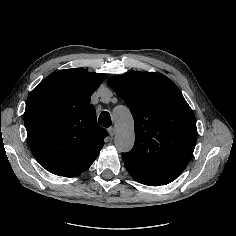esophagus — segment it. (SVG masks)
Segmentation results:
<instances>
[{
  "mask_svg": "<svg viewBox=\"0 0 236 236\" xmlns=\"http://www.w3.org/2000/svg\"><path fill=\"white\" fill-rule=\"evenodd\" d=\"M108 132H109L110 136L113 137L116 134L117 130L115 127H112L108 130Z\"/></svg>",
  "mask_w": 236,
  "mask_h": 236,
  "instance_id": "esophagus-1",
  "label": "esophagus"
}]
</instances>
